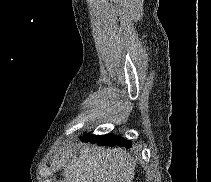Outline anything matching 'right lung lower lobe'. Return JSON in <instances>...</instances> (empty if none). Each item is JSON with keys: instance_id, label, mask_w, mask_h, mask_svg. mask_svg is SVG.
<instances>
[{"instance_id": "right-lung-lower-lobe-1", "label": "right lung lower lobe", "mask_w": 211, "mask_h": 182, "mask_svg": "<svg viewBox=\"0 0 211 182\" xmlns=\"http://www.w3.org/2000/svg\"><path fill=\"white\" fill-rule=\"evenodd\" d=\"M82 141L84 142H91V143H97L98 145L101 146H114V145H118L121 147H126V148H130L131 147V143L127 142L124 138H121L120 136H116V135H111V134H107V135H89V134H85L82 138Z\"/></svg>"}]
</instances>
